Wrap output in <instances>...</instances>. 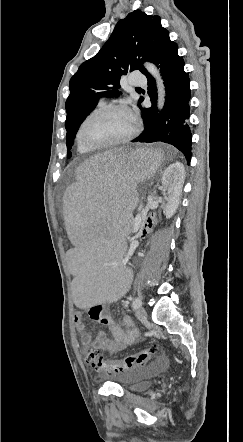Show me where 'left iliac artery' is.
Returning a JSON list of instances; mask_svg holds the SVG:
<instances>
[{"instance_id": "obj_1", "label": "left iliac artery", "mask_w": 243, "mask_h": 442, "mask_svg": "<svg viewBox=\"0 0 243 442\" xmlns=\"http://www.w3.org/2000/svg\"><path fill=\"white\" fill-rule=\"evenodd\" d=\"M141 305H142L141 298H139V297H135V299L133 300V303H132V307H133V309H137V308L140 307Z\"/></svg>"}]
</instances>
